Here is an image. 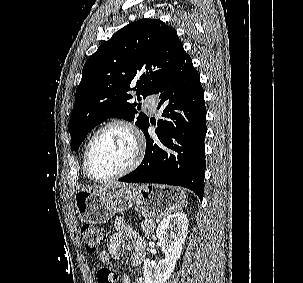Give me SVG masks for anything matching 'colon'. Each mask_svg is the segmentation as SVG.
Masks as SVG:
<instances>
[{
  "label": "colon",
  "mask_w": 303,
  "mask_h": 283,
  "mask_svg": "<svg viewBox=\"0 0 303 283\" xmlns=\"http://www.w3.org/2000/svg\"><path fill=\"white\" fill-rule=\"evenodd\" d=\"M80 236L85 250L88 253H96L106 241V232L92 225H83L80 229ZM98 283H116L117 272L110 268H101L97 271Z\"/></svg>",
  "instance_id": "1"
}]
</instances>
